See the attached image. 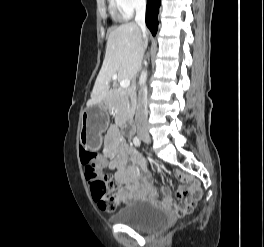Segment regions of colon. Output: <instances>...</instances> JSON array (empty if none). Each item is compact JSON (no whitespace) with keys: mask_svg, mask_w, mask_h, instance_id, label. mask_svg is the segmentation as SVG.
<instances>
[{"mask_svg":"<svg viewBox=\"0 0 264 247\" xmlns=\"http://www.w3.org/2000/svg\"><path fill=\"white\" fill-rule=\"evenodd\" d=\"M81 162L85 165V178L89 184L91 195L101 209L113 211L118 205L116 186L112 178L101 174L98 154L93 151L82 150ZM199 195L185 197L174 203L173 208L178 216L190 213L196 206Z\"/></svg>","mask_w":264,"mask_h":247,"instance_id":"obj_1","label":"colon"}]
</instances>
